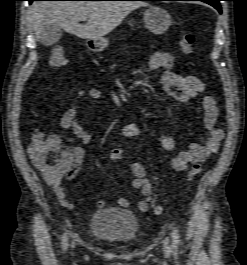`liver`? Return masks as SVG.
<instances>
[{
	"label": "liver",
	"instance_id": "obj_1",
	"mask_svg": "<svg viewBox=\"0 0 247 265\" xmlns=\"http://www.w3.org/2000/svg\"><path fill=\"white\" fill-rule=\"evenodd\" d=\"M141 1H35L28 11L36 38L44 25H59L82 39L98 40L109 34L135 9L146 6ZM81 16L87 23L79 24Z\"/></svg>",
	"mask_w": 247,
	"mask_h": 265
}]
</instances>
